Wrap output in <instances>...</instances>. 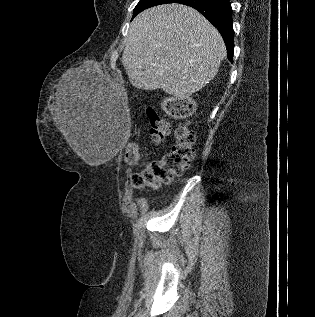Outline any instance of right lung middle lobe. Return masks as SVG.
Segmentation results:
<instances>
[{
  "label": "right lung middle lobe",
  "mask_w": 315,
  "mask_h": 317,
  "mask_svg": "<svg viewBox=\"0 0 315 317\" xmlns=\"http://www.w3.org/2000/svg\"><path fill=\"white\" fill-rule=\"evenodd\" d=\"M178 0H140L137 6L134 8L133 17L141 11L161 4L175 3Z\"/></svg>",
  "instance_id": "obj_1"
}]
</instances>
